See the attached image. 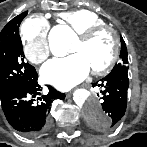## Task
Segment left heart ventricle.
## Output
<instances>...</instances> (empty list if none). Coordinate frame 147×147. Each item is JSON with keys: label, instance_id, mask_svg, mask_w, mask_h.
<instances>
[{"label": "left heart ventricle", "instance_id": "b2bd125f", "mask_svg": "<svg viewBox=\"0 0 147 147\" xmlns=\"http://www.w3.org/2000/svg\"><path fill=\"white\" fill-rule=\"evenodd\" d=\"M72 53L81 54L91 69L102 67L112 53V37L108 33L98 35L91 43L82 44L76 40Z\"/></svg>", "mask_w": 147, "mask_h": 147}]
</instances>
